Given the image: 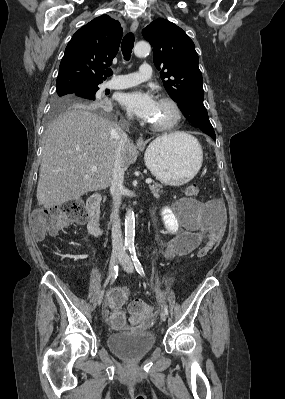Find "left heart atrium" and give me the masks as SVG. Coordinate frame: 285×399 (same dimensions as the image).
<instances>
[{"instance_id": "left-heart-atrium-1", "label": "left heart atrium", "mask_w": 285, "mask_h": 399, "mask_svg": "<svg viewBox=\"0 0 285 399\" xmlns=\"http://www.w3.org/2000/svg\"><path fill=\"white\" fill-rule=\"evenodd\" d=\"M120 103L138 118L150 122L156 113L158 102L150 92L137 89L122 94Z\"/></svg>"}]
</instances>
